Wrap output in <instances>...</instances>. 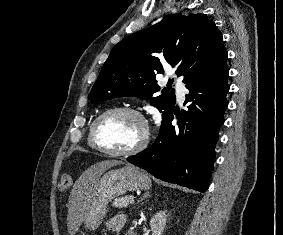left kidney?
<instances>
[{
  "label": "left kidney",
  "mask_w": 283,
  "mask_h": 235,
  "mask_svg": "<svg viewBox=\"0 0 283 235\" xmlns=\"http://www.w3.org/2000/svg\"><path fill=\"white\" fill-rule=\"evenodd\" d=\"M166 214L164 211L156 213L150 221L152 235H161L166 225Z\"/></svg>",
  "instance_id": "5707ae66"
}]
</instances>
